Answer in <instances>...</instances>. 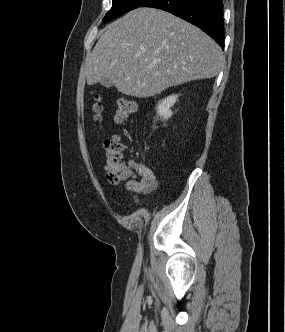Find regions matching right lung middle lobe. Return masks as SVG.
<instances>
[{
    "instance_id": "obj_1",
    "label": "right lung middle lobe",
    "mask_w": 285,
    "mask_h": 332,
    "mask_svg": "<svg viewBox=\"0 0 285 332\" xmlns=\"http://www.w3.org/2000/svg\"><path fill=\"white\" fill-rule=\"evenodd\" d=\"M145 1L146 0H113L112 8L103 18V23L139 7Z\"/></svg>"
}]
</instances>
